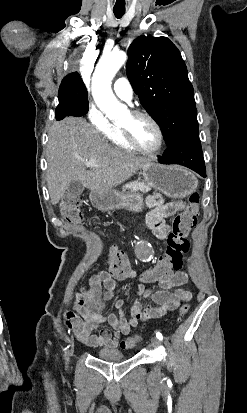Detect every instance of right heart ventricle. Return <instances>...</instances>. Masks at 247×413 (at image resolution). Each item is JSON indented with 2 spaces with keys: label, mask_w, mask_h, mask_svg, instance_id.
<instances>
[{
  "label": "right heart ventricle",
  "mask_w": 247,
  "mask_h": 413,
  "mask_svg": "<svg viewBox=\"0 0 247 413\" xmlns=\"http://www.w3.org/2000/svg\"><path fill=\"white\" fill-rule=\"evenodd\" d=\"M108 140L112 141L113 145H117L118 151L122 153H136L137 150L133 149L123 138L122 133L118 127H114L109 133H106Z\"/></svg>",
  "instance_id": "e07e8e85"
}]
</instances>
